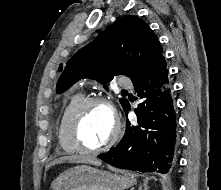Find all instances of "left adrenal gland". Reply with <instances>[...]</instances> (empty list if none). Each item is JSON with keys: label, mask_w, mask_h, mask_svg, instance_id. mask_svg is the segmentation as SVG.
<instances>
[{"label": "left adrenal gland", "mask_w": 221, "mask_h": 190, "mask_svg": "<svg viewBox=\"0 0 221 190\" xmlns=\"http://www.w3.org/2000/svg\"><path fill=\"white\" fill-rule=\"evenodd\" d=\"M131 190H133V189H131ZM138 190H142V185L139 186V189H138Z\"/></svg>", "instance_id": "left-adrenal-gland-1"}]
</instances>
